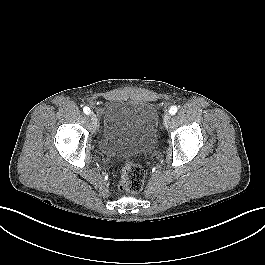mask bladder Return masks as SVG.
<instances>
[{
	"label": "bladder",
	"mask_w": 265,
	"mask_h": 265,
	"mask_svg": "<svg viewBox=\"0 0 265 265\" xmlns=\"http://www.w3.org/2000/svg\"><path fill=\"white\" fill-rule=\"evenodd\" d=\"M159 114L146 101L111 100L106 104L99 141L107 156L130 160L155 146Z\"/></svg>",
	"instance_id": "bladder-1"
}]
</instances>
